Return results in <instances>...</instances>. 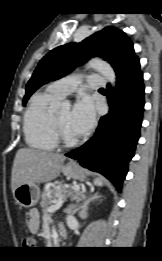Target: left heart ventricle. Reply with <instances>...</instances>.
I'll use <instances>...</instances> for the list:
<instances>
[{"label": "left heart ventricle", "mask_w": 162, "mask_h": 261, "mask_svg": "<svg viewBox=\"0 0 162 261\" xmlns=\"http://www.w3.org/2000/svg\"><path fill=\"white\" fill-rule=\"evenodd\" d=\"M70 113L69 109L59 110L56 111V117L65 134L70 138H76L77 134L71 129L69 124Z\"/></svg>", "instance_id": "obj_1"}]
</instances>
